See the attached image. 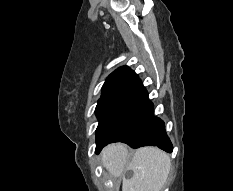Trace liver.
Returning <instances> with one entry per match:
<instances>
[{"instance_id":"obj_1","label":"liver","mask_w":233,"mask_h":191,"mask_svg":"<svg viewBox=\"0 0 233 191\" xmlns=\"http://www.w3.org/2000/svg\"><path fill=\"white\" fill-rule=\"evenodd\" d=\"M101 161L114 178L123 177L126 170L133 171L130 179L123 178L122 191H162L171 168L169 155L159 148H140L130 158L123 143L106 146Z\"/></svg>"}]
</instances>
